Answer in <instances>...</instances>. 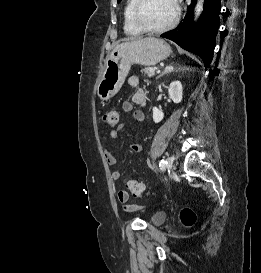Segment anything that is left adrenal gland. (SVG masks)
I'll return each instance as SVG.
<instances>
[{
	"instance_id": "1",
	"label": "left adrenal gland",
	"mask_w": 261,
	"mask_h": 273,
	"mask_svg": "<svg viewBox=\"0 0 261 273\" xmlns=\"http://www.w3.org/2000/svg\"><path fill=\"white\" fill-rule=\"evenodd\" d=\"M173 71H174L173 66L169 65L164 69V71L157 78H160L161 76L165 75L166 73H170Z\"/></svg>"
}]
</instances>
